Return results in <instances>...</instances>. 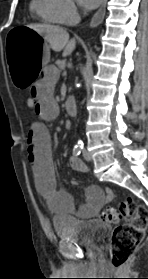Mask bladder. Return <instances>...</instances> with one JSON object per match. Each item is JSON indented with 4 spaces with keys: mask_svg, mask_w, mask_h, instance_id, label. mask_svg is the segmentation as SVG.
Segmentation results:
<instances>
[{
    "mask_svg": "<svg viewBox=\"0 0 148 279\" xmlns=\"http://www.w3.org/2000/svg\"><path fill=\"white\" fill-rule=\"evenodd\" d=\"M52 224L59 239L73 241L86 247H93L102 242L110 229L108 224L100 220H81L73 216H55Z\"/></svg>",
    "mask_w": 148,
    "mask_h": 279,
    "instance_id": "obj_1",
    "label": "bladder"
}]
</instances>
